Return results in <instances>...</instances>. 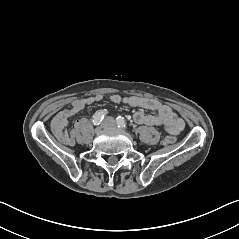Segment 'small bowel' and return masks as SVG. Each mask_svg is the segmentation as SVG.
Instances as JSON below:
<instances>
[{
  "instance_id": "obj_1",
  "label": "small bowel",
  "mask_w": 239,
  "mask_h": 239,
  "mask_svg": "<svg viewBox=\"0 0 239 239\" xmlns=\"http://www.w3.org/2000/svg\"><path fill=\"white\" fill-rule=\"evenodd\" d=\"M103 96L95 94L86 98L78 99L72 102L69 109L60 111L52 121V130L55 136L66 145H74L77 131H67L69 121L85 106L100 102ZM109 99L113 103H124L131 107H141L155 111V114H147L143 111H137L133 115V120L140 125L162 126L165 131L173 135H178L184 129V121L167 105L157 99L149 97L126 96L112 94ZM85 123L84 119L78 120L77 124Z\"/></svg>"
}]
</instances>
